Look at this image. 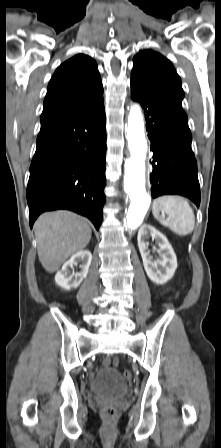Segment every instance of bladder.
I'll return each instance as SVG.
<instances>
[{
	"label": "bladder",
	"instance_id": "obj_1",
	"mask_svg": "<svg viewBox=\"0 0 221 448\" xmlns=\"http://www.w3.org/2000/svg\"><path fill=\"white\" fill-rule=\"evenodd\" d=\"M128 390L126 379L116 369L105 368L98 371L93 378L89 392L92 396L103 399H118Z\"/></svg>",
	"mask_w": 221,
	"mask_h": 448
}]
</instances>
